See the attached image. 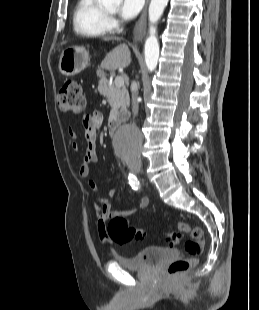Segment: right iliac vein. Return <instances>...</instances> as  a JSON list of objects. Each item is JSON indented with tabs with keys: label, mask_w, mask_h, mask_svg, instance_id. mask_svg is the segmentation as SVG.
Wrapping results in <instances>:
<instances>
[{
	"label": "right iliac vein",
	"mask_w": 259,
	"mask_h": 310,
	"mask_svg": "<svg viewBox=\"0 0 259 310\" xmlns=\"http://www.w3.org/2000/svg\"><path fill=\"white\" fill-rule=\"evenodd\" d=\"M131 170L135 173H138L141 171V165H134L131 167Z\"/></svg>",
	"instance_id": "1"
}]
</instances>
